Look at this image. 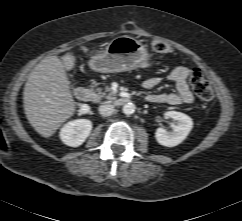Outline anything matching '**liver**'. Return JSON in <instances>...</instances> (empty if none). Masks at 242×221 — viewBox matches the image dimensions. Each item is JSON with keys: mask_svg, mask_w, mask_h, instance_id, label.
Listing matches in <instances>:
<instances>
[{"mask_svg": "<svg viewBox=\"0 0 242 221\" xmlns=\"http://www.w3.org/2000/svg\"><path fill=\"white\" fill-rule=\"evenodd\" d=\"M26 117L41 136L48 138L75 112V102L64 65L57 56L41 60L24 87Z\"/></svg>", "mask_w": 242, "mask_h": 221, "instance_id": "6515ba94", "label": "liver"}]
</instances>
